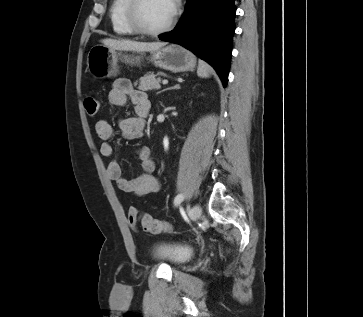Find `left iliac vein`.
Returning a JSON list of instances; mask_svg holds the SVG:
<instances>
[{"instance_id": "left-iliac-vein-1", "label": "left iliac vein", "mask_w": 363, "mask_h": 317, "mask_svg": "<svg viewBox=\"0 0 363 317\" xmlns=\"http://www.w3.org/2000/svg\"><path fill=\"white\" fill-rule=\"evenodd\" d=\"M202 209L199 204H195L189 211V217L191 220H196L201 216Z\"/></svg>"}]
</instances>
